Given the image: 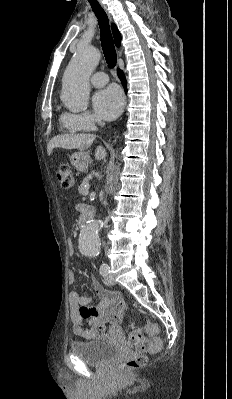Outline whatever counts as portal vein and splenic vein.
<instances>
[{"mask_svg":"<svg viewBox=\"0 0 232 399\" xmlns=\"http://www.w3.org/2000/svg\"><path fill=\"white\" fill-rule=\"evenodd\" d=\"M87 194H89L88 190H86V192H84L83 196H87Z\"/></svg>","mask_w":232,"mask_h":399,"instance_id":"1","label":"portal vein and splenic vein"}]
</instances>
